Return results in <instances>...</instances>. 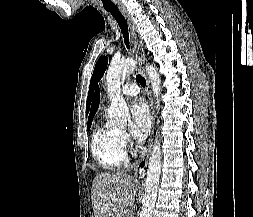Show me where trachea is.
Wrapping results in <instances>:
<instances>
[{"label": "trachea", "instance_id": "3493384b", "mask_svg": "<svg viewBox=\"0 0 253 217\" xmlns=\"http://www.w3.org/2000/svg\"><path fill=\"white\" fill-rule=\"evenodd\" d=\"M114 18L115 20L117 21L120 29H121V32H122V35H123V38H124V42H125V45L127 46V48L129 49L130 46H129V32H128V25H127V22L124 18V16L121 14V12L119 11L118 8H105ZM136 80L140 83L141 86L145 87L146 85V81L145 79L140 75H136Z\"/></svg>", "mask_w": 253, "mask_h": 217}]
</instances>
